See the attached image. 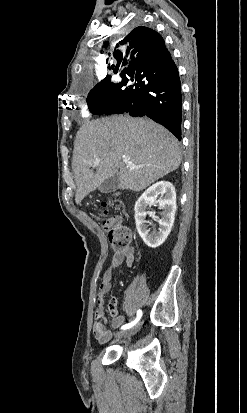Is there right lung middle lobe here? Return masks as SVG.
Instances as JSON below:
<instances>
[{
    "label": "right lung middle lobe",
    "instance_id": "1",
    "mask_svg": "<svg viewBox=\"0 0 247 413\" xmlns=\"http://www.w3.org/2000/svg\"><path fill=\"white\" fill-rule=\"evenodd\" d=\"M123 87L110 81H101L88 94L87 103L89 110L95 115H103L107 104L119 94Z\"/></svg>",
    "mask_w": 247,
    "mask_h": 413
}]
</instances>
